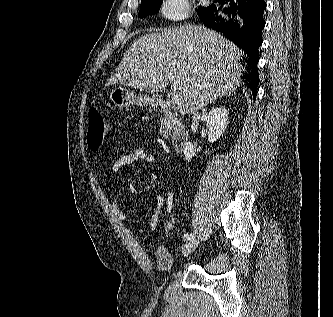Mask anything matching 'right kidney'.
<instances>
[{
	"instance_id": "ca27d5eb",
	"label": "right kidney",
	"mask_w": 333,
	"mask_h": 317,
	"mask_svg": "<svg viewBox=\"0 0 333 317\" xmlns=\"http://www.w3.org/2000/svg\"><path fill=\"white\" fill-rule=\"evenodd\" d=\"M228 114L227 109L223 107L215 108L209 112L207 116V127L210 131L208 136L209 143H214L222 136L229 123ZM200 151L201 147L197 148L195 144L187 142L184 148L185 160L191 161L196 156V152Z\"/></svg>"
}]
</instances>
